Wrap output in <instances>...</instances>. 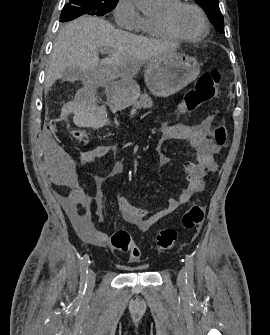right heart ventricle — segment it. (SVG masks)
Returning a JSON list of instances; mask_svg holds the SVG:
<instances>
[{"label":"right heart ventricle","instance_id":"right-heart-ventricle-1","mask_svg":"<svg viewBox=\"0 0 270 335\" xmlns=\"http://www.w3.org/2000/svg\"><path fill=\"white\" fill-rule=\"evenodd\" d=\"M162 8H166L169 7L171 5H173L174 3L178 2L173 1V2H161L159 0ZM138 30H140L142 33L153 37V38H158V39H171L173 38L172 36H170L169 34H167L161 27L160 25L157 23L156 18H151V17H147V16H142L141 17V21H140V25L138 27Z\"/></svg>","mask_w":270,"mask_h":335}]
</instances>
